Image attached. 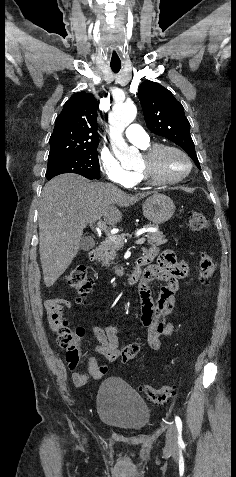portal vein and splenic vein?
I'll use <instances>...</instances> for the list:
<instances>
[{
	"label": "portal vein and splenic vein",
	"instance_id": "18ae733b",
	"mask_svg": "<svg viewBox=\"0 0 236 477\" xmlns=\"http://www.w3.org/2000/svg\"><path fill=\"white\" fill-rule=\"evenodd\" d=\"M97 226H98V229H101V230L105 231L106 235L108 236V238H109L111 241H113V242L116 243V244H123V241H122L118 236H116V235H114V234H111V233L108 231V229H107V227H106V224H105L104 222H102L101 220H99V221L97 222ZM145 240H146V239H145L144 237H142V238L137 239L135 243H136V244H143V243L145 242Z\"/></svg>",
	"mask_w": 236,
	"mask_h": 477
}]
</instances>
